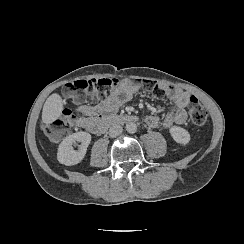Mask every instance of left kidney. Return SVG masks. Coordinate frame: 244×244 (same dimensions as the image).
Returning <instances> with one entry per match:
<instances>
[{"label": "left kidney", "instance_id": "left-kidney-1", "mask_svg": "<svg viewBox=\"0 0 244 244\" xmlns=\"http://www.w3.org/2000/svg\"><path fill=\"white\" fill-rule=\"evenodd\" d=\"M169 131L171 136L177 143L185 145L190 141V134L184 128H181L179 126H172Z\"/></svg>", "mask_w": 244, "mask_h": 244}]
</instances>
